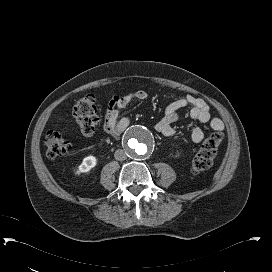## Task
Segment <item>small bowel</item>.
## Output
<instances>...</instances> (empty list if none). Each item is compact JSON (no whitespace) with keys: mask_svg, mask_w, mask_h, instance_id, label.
<instances>
[{"mask_svg":"<svg viewBox=\"0 0 272 272\" xmlns=\"http://www.w3.org/2000/svg\"><path fill=\"white\" fill-rule=\"evenodd\" d=\"M147 97L148 94L143 90H138L121 96H114L105 113V132L107 134H114L117 130L121 110L133 100H145ZM171 97L173 96L171 95ZM186 106L190 107V116L193 120L200 124H209V127L214 131H220L223 129L224 124L221 119L211 118L210 108L204 99L193 95H187L183 98L175 99L166 107L163 117L156 124V130L163 136H171L174 133L173 124L180 118L179 111L181 108ZM203 138V128L195 126L191 132L192 141L194 143H199Z\"/></svg>","mask_w":272,"mask_h":272,"instance_id":"c3829d8e","label":"small bowel"}]
</instances>
